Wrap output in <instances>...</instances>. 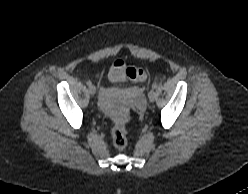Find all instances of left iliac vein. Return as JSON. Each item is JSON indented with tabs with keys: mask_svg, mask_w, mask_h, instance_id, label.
<instances>
[{
	"mask_svg": "<svg viewBox=\"0 0 248 194\" xmlns=\"http://www.w3.org/2000/svg\"><path fill=\"white\" fill-rule=\"evenodd\" d=\"M157 97V94L154 90H151L148 94V98L151 102H153Z\"/></svg>",
	"mask_w": 248,
	"mask_h": 194,
	"instance_id": "left-iliac-vein-1",
	"label": "left iliac vein"
}]
</instances>
